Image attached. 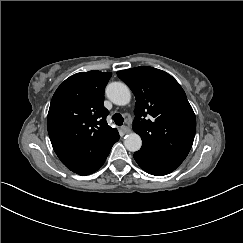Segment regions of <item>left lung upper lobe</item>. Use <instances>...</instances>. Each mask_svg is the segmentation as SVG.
Returning <instances> with one entry per match:
<instances>
[{"instance_id":"5c2ea615","label":"left lung upper lobe","mask_w":243,"mask_h":243,"mask_svg":"<svg viewBox=\"0 0 243 243\" xmlns=\"http://www.w3.org/2000/svg\"><path fill=\"white\" fill-rule=\"evenodd\" d=\"M117 75L136 98L133 130L142 138L141 148L183 161L193 144L196 118L179 83L168 73L147 66L121 70ZM147 115L151 118L145 119Z\"/></svg>"}]
</instances>
